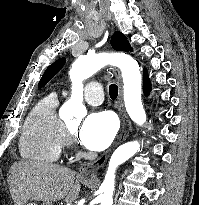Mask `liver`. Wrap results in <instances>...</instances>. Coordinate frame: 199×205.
I'll use <instances>...</instances> for the list:
<instances>
[{"instance_id": "6515ba94", "label": "liver", "mask_w": 199, "mask_h": 205, "mask_svg": "<svg viewBox=\"0 0 199 205\" xmlns=\"http://www.w3.org/2000/svg\"><path fill=\"white\" fill-rule=\"evenodd\" d=\"M75 175L73 170L57 164L19 161L9 169L8 184L15 205H26L29 200L73 202L81 189Z\"/></svg>"}]
</instances>
